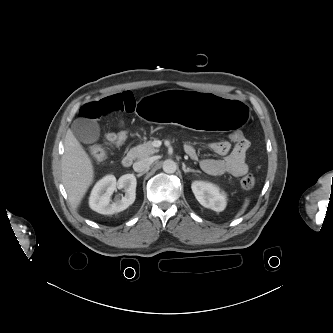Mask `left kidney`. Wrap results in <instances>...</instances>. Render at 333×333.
<instances>
[{"label": "left kidney", "mask_w": 333, "mask_h": 333, "mask_svg": "<svg viewBox=\"0 0 333 333\" xmlns=\"http://www.w3.org/2000/svg\"><path fill=\"white\" fill-rule=\"evenodd\" d=\"M192 191L198 202L205 208L221 212L226 207V195L220 192L219 188L203 181H194L192 183Z\"/></svg>", "instance_id": "1"}]
</instances>
